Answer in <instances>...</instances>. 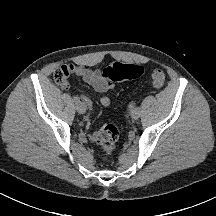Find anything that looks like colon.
I'll return each mask as SVG.
<instances>
[{
	"instance_id": "colon-1",
	"label": "colon",
	"mask_w": 216,
	"mask_h": 216,
	"mask_svg": "<svg viewBox=\"0 0 216 216\" xmlns=\"http://www.w3.org/2000/svg\"><path fill=\"white\" fill-rule=\"evenodd\" d=\"M73 70L70 65H62L54 72L53 78L57 85L65 86ZM143 73V67L138 64H123L114 62L108 65L102 73L105 83L112 87L116 83L138 78ZM165 73L160 69H155L151 73V80L156 88L163 87L165 83ZM119 139V130L112 124L103 125L95 134V142L102 150V158L107 159L115 150Z\"/></svg>"
}]
</instances>
